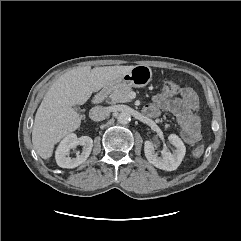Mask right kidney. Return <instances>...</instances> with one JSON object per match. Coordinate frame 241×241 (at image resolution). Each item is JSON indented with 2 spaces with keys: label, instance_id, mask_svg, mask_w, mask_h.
I'll return each instance as SVG.
<instances>
[{
  "label": "right kidney",
  "instance_id": "obj_1",
  "mask_svg": "<svg viewBox=\"0 0 241 241\" xmlns=\"http://www.w3.org/2000/svg\"><path fill=\"white\" fill-rule=\"evenodd\" d=\"M77 145L83 146L81 154L76 155V157H69L68 152ZM92 147V138L89 136L77 138L76 134L71 133L67 135L57 147L55 152L56 162L58 166L62 168H75L87 160L92 151Z\"/></svg>",
  "mask_w": 241,
  "mask_h": 241
}]
</instances>
